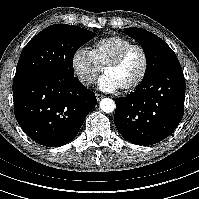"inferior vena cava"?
I'll return each instance as SVG.
<instances>
[{
    "mask_svg": "<svg viewBox=\"0 0 199 199\" xmlns=\"http://www.w3.org/2000/svg\"><path fill=\"white\" fill-rule=\"evenodd\" d=\"M81 81L87 86L91 85L94 82L91 78H83L81 79Z\"/></svg>",
    "mask_w": 199,
    "mask_h": 199,
    "instance_id": "1",
    "label": "inferior vena cava"
}]
</instances>
